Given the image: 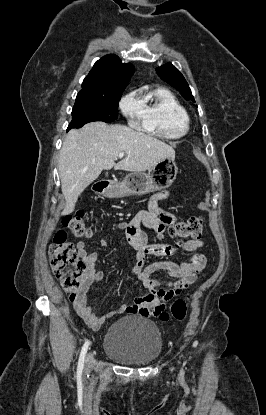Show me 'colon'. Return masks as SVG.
Instances as JSON below:
<instances>
[{
    "mask_svg": "<svg viewBox=\"0 0 266 415\" xmlns=\"http://www.w3.org/2000/svg\"><path fill=\"white\" fill-rule=\"evenodd\" d=\"M64 228L76 237H89L92 230L86 226L84 214L79 212L63 219ZM173 238L199 239L203 233V224L200 217H191L186 220L174 222L166 231ZM49 257L55 276L68 294L70 300L77 298L79 294L81 278L86 273V263L76 253L71 241L67 239L64 229H60L55 234L49 247ZM187 298L177 299L170 310L148 308L146 312L160 319L167 321L174 319L182 321L185 319L188 310Z\"/></svg>",
    "mask_w": 266,
    "mask_h": 415,
    "instance_id": "obj_1",
    "label": "colon"
}]
</instances>
